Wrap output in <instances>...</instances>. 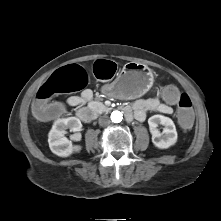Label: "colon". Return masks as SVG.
Returning a JSON list of instances; mask_svg holds the SVG:
<instances>
[{"label": "colon", "mask_w": 221, "mask_h": 221, "mask_svg": "<svg viewBox=\"0 0 221 221\" xmlns=\"http://www.w3.org/2000/svg\"><path fill=\"white\" fill-rule=\"evenodd\" d=\"M116 64L109 60L95 62L93 71L98 79H111L116 72ZM88 83L86 71L78 65H69L55 71L40 87L34 103L35 119L40 123L50 113L62 116V107L58 104L49 105L47 101L56 94L70 93L83 89ZM161 101L167 106L178 105V128L186 133L195 125L190 97L182 93L176 85L168 84L161 88Z\"/></svg>", "instance_id": "1"}]
</instances>
